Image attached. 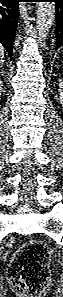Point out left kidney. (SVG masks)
<instances>
[{
	"label": "left kidney",
	"mask_w": 63,
	"mask_h": 297,
	"mask_svg": "<svg viewBox=\"0 0 63 297\" xmlns=\"http://www.w3.org/2000/svg\"><path fill=\"white\" fill-rule=\"evenodd\" d=\"M59 98L63 102V80L59 81Z\"/></svg>",
	"instance_id": "1"
}]
</instances>
